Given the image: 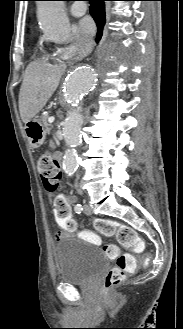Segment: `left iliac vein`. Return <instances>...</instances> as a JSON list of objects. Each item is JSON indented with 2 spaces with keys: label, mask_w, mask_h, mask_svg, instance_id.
Masks as SVG:
<instances>
[{
  "label": "left iliac vein",
  "mask_w": 183,
  "mask_h": 329,
  "mask_svg": "<svg viewBox=\"0 0 183 329\" xmlns=\"http://www.w3.org/2000/svg\"><path fill=\"white\" fill-rule=\"evenodd\" d=\"M83 207H84V213L86 215H91L92 214V209H91L89 204L85 203Z\"/></svg>",
  "instance_id": "1"
}]
</instances>
